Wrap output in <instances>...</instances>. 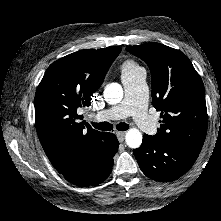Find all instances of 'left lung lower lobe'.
<instances>
[{
    "instance_id": "obj_1",
    "label": "left lung lower lobe",
    "mask_w": 221,
    "mask_h": 221,
    "mask_svg": "<svg viewBox=\"0 0 221 221\" xmlns=\"http://www.w3.org/2000/svg\"><path fill=\"white\" fill-rule=\"evenodd\" d=\"M143 173L157 181H173L184 175L199 153L174 141L144 134L142 145L134 150Z\"/></svg>"
}]
</instances>
